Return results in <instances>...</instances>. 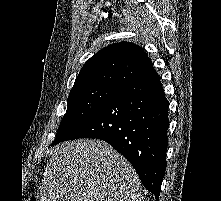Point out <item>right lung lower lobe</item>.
<instances>
[{
  "mask_svg": "<svg viewBox=\"0 0 221 201\" xmlns=\"http://www.w3.org/2000/svg\"><path fill=\"white\" fill-rule=\"evenodd\" d=\"M168 101L153 69L119 89L66 140L101 139L135 168L159 201L166 169Z\"/></svg>",
  "mask_w": 221,
  "mask_h": 201,
  "instance_id": "right-lung-lower-lobe-1",
  "label": "right lung lower lobe"
}]
</instances>
